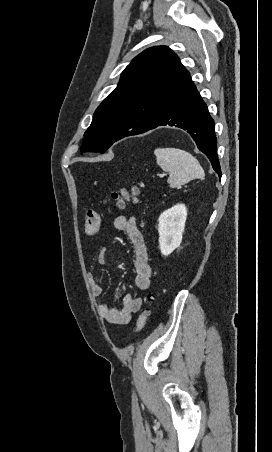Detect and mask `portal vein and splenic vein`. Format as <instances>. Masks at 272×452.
Here are the masks:
<instances>
[{"mask_svg":"<svg viewBox=\"0 0 272 452\" xmlns=\"http://www.w3.org/2000/svg\"><path fill=\"white\" fill-rule=\"evenodd\" d=\"M159 176H160V177H163L164 175H163V174H160Z\"/></svg>","mask_w":272,"mask_h":452,"instance_id":"obj_1","label":"portal vein and splenic vein"}]
</instances>
